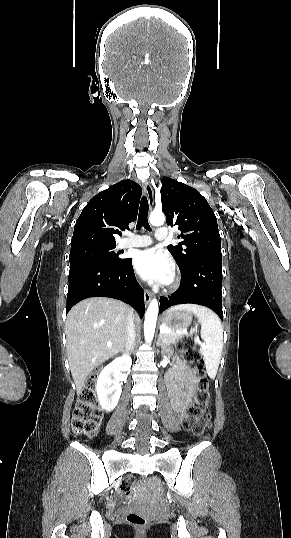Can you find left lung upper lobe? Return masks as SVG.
<instances>
[{"label": "left lung upper lobe", "instance_id": "1", "mask_svg": "<svg viewBox=\"0 0 291 538\" xmlns=\"http://www.w3.org/2000/svg\"><path fill=\"white\" fill-rule=\"evenodd\" d=\"M160 190L162 210L168 225H177L181 241L168 250L180 270L201 258H222L216 216L207 200L194 188L164 177Z\"/></svg>", "mask_w": 291, "mask_h": 538}]
</instances>
